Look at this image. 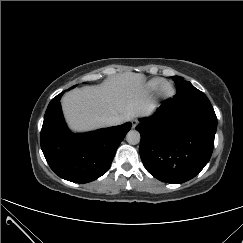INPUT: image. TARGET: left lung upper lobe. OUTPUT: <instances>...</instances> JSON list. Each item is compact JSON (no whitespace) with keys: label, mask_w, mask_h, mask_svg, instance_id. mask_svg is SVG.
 Here are the masks:
<instances>
[{"label":"left lung upper lobe","mask_w":243,"mask_h":243,"mask_svg":"<svg viewBox=\"0 0 243 243\" xmlns=\"http://www.w3.org/2000/svg\"><path fill=\"white\" fill-rule=\"evenodd\" d=\"M171 78L174 82L179 83L178 88L182 86H188L197 91L198 96L197 99H195L196 101L195 102L192 101V103L190 104L194 110L201 111V112H214V109L209 99L206 97V95L203 92L196 89L190 82L183 81L179 76H173Z\"/></svg>","instance_id":"5c2ea615"}]
</instances>
